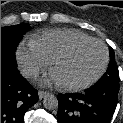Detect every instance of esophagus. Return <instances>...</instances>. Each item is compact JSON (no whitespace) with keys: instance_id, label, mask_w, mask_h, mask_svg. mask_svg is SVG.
I'll return each instance as SVG.
<instances>
[{"instance_id":"34e87169","label":"esophagus","mask_w":123,"mask_h":123,"mask_svg":"<svg viewBox=\"0 0 123 123\" xmlns=\"http://www.w3.org/2000/svg\"><path fill=\"white\" fill-rule=\"evenodd\" d=\"M49 94V92L47 91H39L38 92V96H39V99H43L45 96H47Z\"/></svg>"}]
</instances>
